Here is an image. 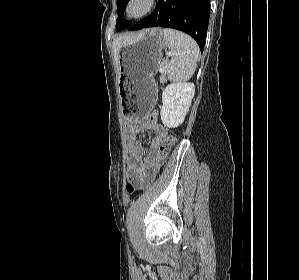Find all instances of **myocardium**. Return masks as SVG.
I'll list each match as a JSON object with an SVG mask.
<instances>
[{
  "mask_svg": "<svg viewBox=\"0 0 299 280\" xmlns=\"http://www.w3.org/2000/svg\"><path fill=\"white\" fill-rule=\"evenodd\" d=\"M140 4L141 8L137 12H132V7ZM156 6V0H128L125 6V15L131 20H140L152 13Z\"/></svg>",
  "mask_w": 299,
  "mask_h": 280,
  "instance_id": "obj_1",
  "label": "myocardium"
}]
</instances>
